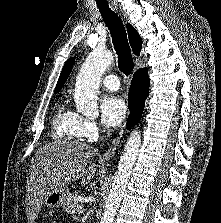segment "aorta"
<instances>
[{"label": "aorta", "mask_w": 221, "mask_h": 223, "mask_svg": "<svg viewBox=\"0 0 221 223\" xmlns=\"http://www.w3.org/2000/svg\"><path fill=\"white\" fill-rule=\"evenodd\" d=\"M113 60L112 52L99 49L92 51L86 58L75 83L74 100L78 112L90 117L98 115L97 96L100 79ZM140 143L141 132L135 129L124 146L101 223H113L114 221L136 162Z\"/></svg>", "instance_id": "aorta-1"}]
</instances>
